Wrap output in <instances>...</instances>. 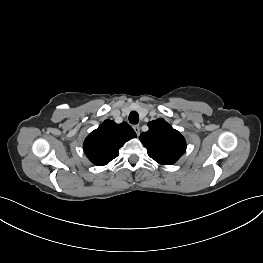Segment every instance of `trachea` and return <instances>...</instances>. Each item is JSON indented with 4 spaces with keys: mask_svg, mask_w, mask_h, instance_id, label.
Wrapping results in <instances>:
<instances>
[{
    "mask_svg": "<svg viewBox=\"0 0 263 263\" xmlns=\"http://www.w3.org/2000/svg\"><path fill=\"white\" fill-rule=\"evenodd\" d=\"M129 122L131 124H137L139 122V115L137 112L135 111H132L130 114H129Z\"/></svg>",
    "mask_w": 263,
    "mask_h": 263,
    "instance_id": "1",
    "label": "trachea"
}]
</instances>
